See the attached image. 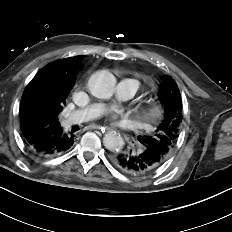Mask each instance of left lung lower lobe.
Masks as SVG:
<instances>
[{"label": "left lung lower lobe", "instance_id": "0a47b994", "mask_svg": "<svg viewBox=\"0 0 232 232\" xmlns=\"http://www.w3.org/2000/svg\"><path fill=\"white\" fill-rule=\"evenodd\" d=\"M165 159L160 153L148 148H141L135 154H117L113 158L114 165L121 171L133 175L142 176L154 172Z\"/></svg>", "mask_w": 232, "mask_h": 232}]
</instances>
